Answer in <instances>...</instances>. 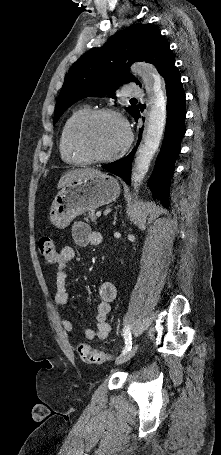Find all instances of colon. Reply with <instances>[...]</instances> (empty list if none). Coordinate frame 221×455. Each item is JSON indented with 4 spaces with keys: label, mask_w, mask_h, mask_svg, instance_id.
I'll return each mask as SVG.
<instances>
[{
    "label": "colon",
    "mask_w": 221,
    "mask_h": 455,
    "mask_svg": "<svg viewBox=\"0 0 221 455\" xmlns=\"http://www.w3.org/2000/svg\"><path fill=\"white\" fill-rule=\"evenodd\" d=\"M39 253L41 257L49 264H54L60 260V256L56 250L54 241L51 237L43 236L39 240ZM77 352L80 358L91 364H103L110 360V356L106 353L91 348L86 343H80L77 346Z\"/></svg>",
    "instance_id": "5ec220e1"
}]
</instances>
